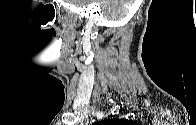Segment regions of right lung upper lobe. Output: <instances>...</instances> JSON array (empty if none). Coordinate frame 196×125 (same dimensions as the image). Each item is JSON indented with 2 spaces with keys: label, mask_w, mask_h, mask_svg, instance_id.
<instances>
[{
  "label": "right lung upper lobe",
  "mask_w": 196,
  "mask_h": 125,
  "mask_svg": "<svg viewBox=\"0 0 196 125\" xmlns=\"http://www.w3.org/2000/svg\"><path fill=\"white\" fill-rule=\"evenodd\" d=\"M111 121H112V120H111ZM113 121L115 122V121H117V119H114ZM121 122H127V121L121 120Z\"/></svg>",
  "instance_id": "cb5924a9"
}]
</instances>
